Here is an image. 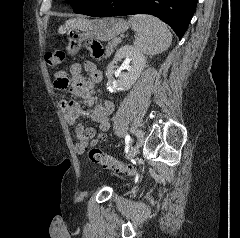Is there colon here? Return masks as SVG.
I'll use <instances>...</instances> for the list:
<instances>
[{"mask_svg":"<svg viewBox=\"0 0 240 238\" xmlns=\"http://www.w3.org/2000/svg\"><path fill=\"white\" fill-rule=\"evenodd\" d=\"M86 50L95 58H100L103 55V47L100 41L96 39L87 40L85 42ZM65 55L60 50H54L46 53L45 61L49 66H56L63 62ZM88 158L91 162L101 164L103 167L125 173L127 175H134L137 173L135 167L129 164H124L117 159L105 154L98 148H91L88 152Z\"/></svg>","mask_w":240,"mask_h":238,"instance_id":"5ec220e1","label":"colon"}]
</instances>
